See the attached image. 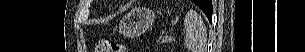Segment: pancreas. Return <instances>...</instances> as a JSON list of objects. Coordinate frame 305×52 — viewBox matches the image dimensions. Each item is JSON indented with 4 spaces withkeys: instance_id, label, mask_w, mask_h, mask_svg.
I'll list each match as a JSON object with an SVG mask.
<instances>
[{
    "instance_id": "cf45deb5",
    "label": "pancreas",
    "mask_w": 305,
    "mask_h": 52,
    "mask_svg": "<svg viewBox=\"0 0 305 52\" xmlns=\"http://www.w3.org/2000/svg\"><path fill=\"white\" fill-rule=\"evenodd\" d=\"M163 43H171L173 41V38L166 35L162 39H160Z\"/></svg>"
}]
</instances>
